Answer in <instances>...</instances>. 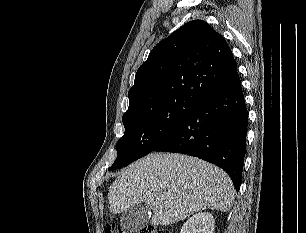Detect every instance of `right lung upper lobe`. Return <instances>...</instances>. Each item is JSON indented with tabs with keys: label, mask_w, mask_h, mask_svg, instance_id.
<instances>
[{
	"label": "right lung upper lobe",
	"mask_w": 306,
	"mask_h": 233,
	"mask_svg": "<svg viewBox=\"0 0 306 233\" xmlns=\"http://www.w3.org/2000/svg\"><path fill=\"white\" fill-rule=\"evenodd\" d=\"M239 80L226 40L206 22L194 20L152 49L128 92L127 112L175 98L200 104Z\"/></svg>",
	"instance_id": "1"
}]
</instances>
